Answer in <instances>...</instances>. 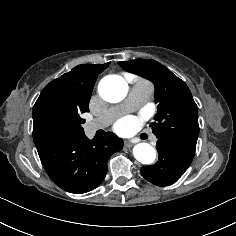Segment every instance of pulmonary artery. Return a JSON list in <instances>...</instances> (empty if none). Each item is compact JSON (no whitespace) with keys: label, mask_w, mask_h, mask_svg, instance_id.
<instances>
[{"label":"pulmonary artery","mask_w":236,"mask_h":236,"mask_svg":"<svg viewBox=\"0 0 236 236\" xmlns=\"http://www.w3.org/2000/svg\"><path fill=\"white\" fill-rule=\"evenodd\" d=\"M152 92L153 89L150 85L135 84L122 104L109 109L102 116L87 122L85 125L86 133L94 135L98 130L106 128L115 117L144 105Z\"/></svg>","instance_id":"obj_1"}]
</instances>
